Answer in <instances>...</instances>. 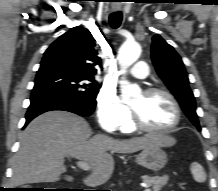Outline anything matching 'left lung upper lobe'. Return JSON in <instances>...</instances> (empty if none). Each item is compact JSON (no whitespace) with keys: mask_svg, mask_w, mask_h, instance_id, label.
<instances>
[{"mask_svg":"<svg viewBox=\"0 0 218 191\" xmlns=\"http://www.w3.org/2000/svg\"><path fill=\"white\" fill-rule=\"evenodd\" d=\"M151 57L159 77L178 100L190 121L200 130L195 97L181 57L160 35L152 37Z\"/></svg>","mask_w":218,"mask_h":191,"instance_id":"obj_1","label":"left lung upper lobe"}]
</instances>
